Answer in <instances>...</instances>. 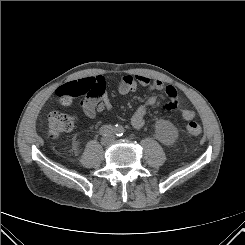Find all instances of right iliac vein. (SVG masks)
Here are the masks:
<instances>
[{"instance_id":"1","label":"right iliac vein","mask_w":245,"mask_h":245,"mask_svg":"<svg viewBox=\"0 0 245 245\" xmlns=\"http://www.w3.org/2000/svg\"><path fill=\"white\" fill-rule=\"evenodd\" d=\"M110 143V139L108 137L102 139V144L108 145Z\"/></svg>"}]
</instances>
